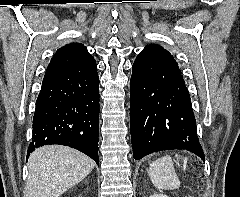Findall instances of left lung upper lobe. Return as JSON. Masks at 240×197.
Masks as SVG:
<instances>
[{
    "label": "left lung upper lobe",
    "mask_w": 240,
    "mask_h": 197,
    "mask_svg": "<svg viewBox=\"0 0 240 197\" xmlns=\"http://www.w3.org/2000/svg\"><path fill=\"white\" fill-rule=\"evenodd\" d=\"M133 66L140 70H163L181 73L172 55L156 44L146 46L137 56Z\"/></svg>",
    "instance_id": "obj_1"
}]
</instances>
